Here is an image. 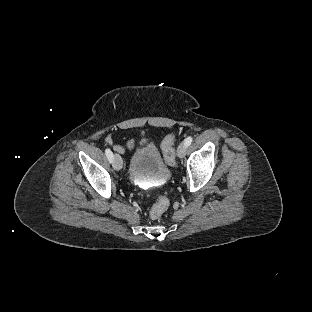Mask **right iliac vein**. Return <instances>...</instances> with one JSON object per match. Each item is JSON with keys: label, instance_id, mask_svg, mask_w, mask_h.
<instances>
[{"label": "right iliac vein", "instance_id": "right-iliac-vein-1", "mask_svg": "<svg viewBox=\"0 0 312 312\" xmlns=\"http://www.w3.org/2000/svg\"><path fill=\"white\" fill-rule=\"evenodd\" d=\"M113 167L116 171H120L122 169V159L119 154H115L113 156Z\"/></svg>", "mask_w": 312, "mask_h": 312}]
</instances>
